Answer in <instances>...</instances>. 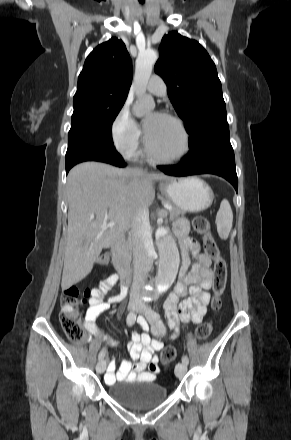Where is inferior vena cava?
<instances>
[{
    "label": "inferior vena cava",
    "instance_id": "obj_1",
    "mask_svg": "<svg viewBox=\"0 0 291 440\" xmlns=\"http://www.w3.org/2000/svg\"><path fill=\"white\" fill-rule=\"evenodd\" d=\"M148 212L138 211L131 224L134 276L130 291V301L142 305L141 290L152 267L153 242L150 235Z\"/></svg>",
    "mask_w": 291,
    "mask_h": 440
}]
</instances>
